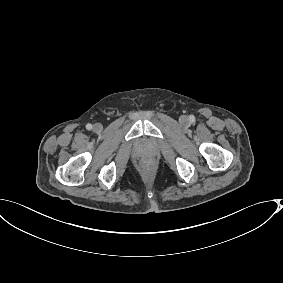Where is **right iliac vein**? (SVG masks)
Instances as JSON below:
<instances>
[{"label": "right iliac vein", "mask_w": 283, "mask_h": 283, "mask_svg": "<svg viewBox=\"0 0 283 283\" xmlns=\"http://www.w3.org/2000/svg\"><path fill=\"white\" fill-rule=\"evenodd\" d=\"M102 130V125L100 123H95L93 125V131L94 132H100Z\"/></svg>", "instance_id": "1"}]
</instances>
